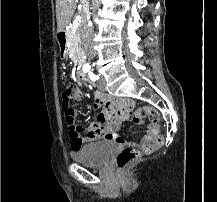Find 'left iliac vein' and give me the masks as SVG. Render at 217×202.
Masks as SVG:
<instances>
[{
	"mask_svg": "<svg viewBox=\"0 0 217 202\" xmlns=\"http://www.w3.org/2000/svg\"><path fill=\"white\" fill-rule=\"evenodd\" d=\"M98 89L100 91H106L107 90V86H106V82L104 80H101L99 83H98Z\"/></svg>",
	"mask_w": 217,
	"mask_h": 202,
	"instance_id": "4c4485c4",
	"label": "left iliac vein"
}]
</instances>
